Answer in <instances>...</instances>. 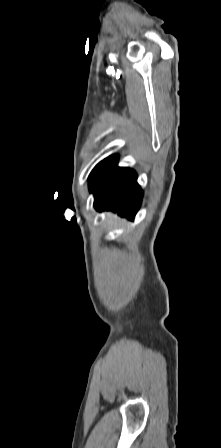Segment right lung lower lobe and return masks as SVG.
Masks as SVG:
<instances>
[{"label": "right lung lower lobe", "instance_id": "1", "mask_svg": "<svg viewBox=\"0 0 221 448\" xmlns=\"http://www.w3.org/2000/svg\"><path fill=\"white\" fill-rule=\"evenodd\" d=\"M117 163L115 156L106 158L90 177L94 207L97 211L111 210L133 220L143 192L137 184V174L129 168L118 167Z\"/></svg>", "mask_w": 221, "mask_h": 448}]
</instances>
